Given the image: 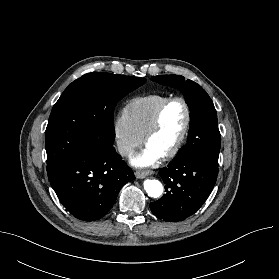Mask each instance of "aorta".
<instances>
[{
	"instance_id": "762f6f07",
	"label": "aorta",
	"mask_w": 279,
	"mask_h": 279,
	"mask_svg": "<svg viewBox=\"0 0 279 279\" xmlns=\"http://www.w3.org/2000/svg\"><path fill=\"white\" fill-rule=\"evenodd\" d=\"M144 189L149 197L158 198L163 193V186L160 181L156 179H147L144 181Z\"/></svg>"
}]
</instances>
